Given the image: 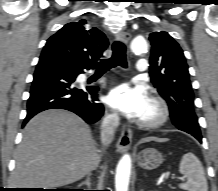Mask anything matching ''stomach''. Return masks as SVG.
I'll return each mask as SVG.
<instances>
[{"label":"stomach","mask_w":218,"mask_h":191,"mask_svg":"<svg viewBox=\"0 0 218 191\" xmlns=\"http://www.w3.org/2000/svg\"><path fill=\"white\" fill-rule=\"evenodd\" d=\"M163 161L162 154L154 148H146L142 150L137 157L138 165L146 170H154L158 168Z\"/></svg>","instance_id":"1"}]
</instances>
